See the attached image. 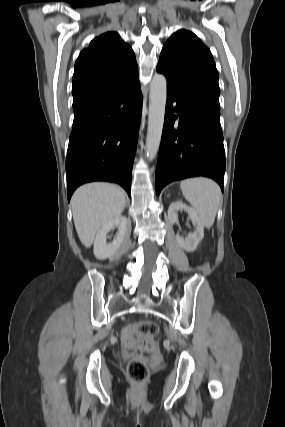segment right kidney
<instances>
[{
    "instance_id": "1",
    "label": "right kidney",
    "mask_w": 285,
    "mask_h": 427,
    "mask_svg": "<svg viewBox=\"0 0 285 427\" xmlns=\"http://www.w3.org/2000/svg\"><path fill=\"white\" fill-rule=\"evenodd\" d=\"M114 227L118 228L116 238L111 243H107V233ZM127 232V218L119 216L100 228L94 241V255L97 259L103 260L113 257L120 248Z\"/></svg>"
}]
</instances>
